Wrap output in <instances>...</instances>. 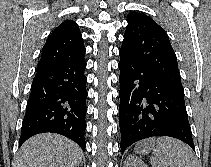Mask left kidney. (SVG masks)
Returning a JSON list of instances; mask_svg holds the SVG:
<instances>
[{"label": "left kidney", "mask_w": 211, "mask_h": 167, "mask_svg": "<svg viewBox=\"0 0 211 167\" xmlns=\"http://www.w3.org/2000/svg\"><path fill=\"white\" fill-rule=\"evenodd\" d=\"M124 167H148L142 160L135 156H128Z\"/></svg>", "instance_id": "obj_1"}]
</instances>
